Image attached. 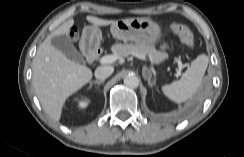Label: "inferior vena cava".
Instances as JSON below:
<instances>
[{"label":"inferior vena cava","instance_id":"obj_1","mask_svg":"<svg viewBox=\"0 0 244 157\" xmlns=\"http://www.w3.org/2000/svg\"><path fill=\"white\" fill-rule=\"evenodd\" d=\"M113 67L100 66L95 70V77L100 80H105L113 73Z\"/></svg>","mask_w":244,"mask_h":157}]
</instances>
